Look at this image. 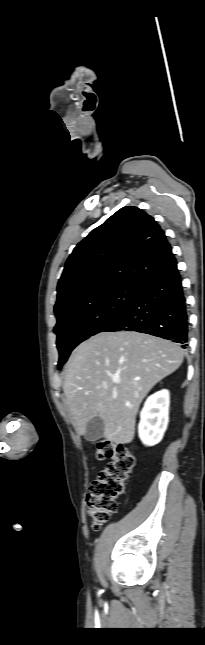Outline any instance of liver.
<instances>
[{
	"instance_id": "obj_1",
	"label": "liver",
	"mask_w": 205,
	"mask_h": 645,
	"mask_svg": "<svg viewBox=\"0 0 205 645\" xmlns=\"http://www.w3.org/2000/svg\"><path fill=\"white\" fill-rule=\"evenodd\" d=\"M183 358L176 343L135 331L101 332L82 342L70 355L63 384L77 434L100 417L106 439L130 443L142 400Z\"/></svg>"
}]
</instances>
